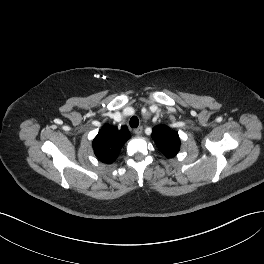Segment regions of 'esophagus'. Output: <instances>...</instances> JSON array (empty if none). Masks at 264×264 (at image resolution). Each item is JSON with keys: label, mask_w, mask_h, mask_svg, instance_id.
Here are the masks:
<instances>
[{"label": "esophagus", "mask_w": 264, "mask_h": 264, "mask_svg": "<svg viewBox=\"0 0 264 264\" xmlns=\"http://www.w3.org/2000/svg\"><path fill=\"white\" fill-rule=\"evenodd\" d=\"M142 131H143V127L142 126L137 127V128L134 129V133L136 135H138V136L142 134Z\"/></svg>", "instance_id": "1"}]
</instances>
